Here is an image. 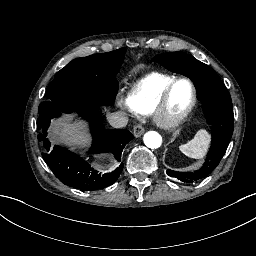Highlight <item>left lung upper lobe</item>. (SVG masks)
I'll return each instance as SVG.
<instances>
[{"label":"left lung upper lobe","mask_w":256,"mask_h":256,"mask_svg":"<svg viewBox=\"0 0 256 256\" xmlns=\"http://www.w3.org/2000/svg\"><path fill=\"white\" fill-rule=\"evenodd\" d=\"M153 61L189 77L195 84L198 99L211 125L212 144L203 166L194 172L184 173L206 177L218 166L232 137L234 118L230 95L216 72L189 54L164 53L156 55Z\"/></svg>","instance_id":"5c2ea615"}]
</instances>
